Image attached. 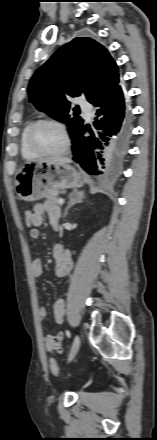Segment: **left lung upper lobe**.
<instances>
[{
  "label": "left lung upper lobe",
  "instance_id": "1",
  "mask_svg": "<svg viewBox=\"0 0 157 440\" xmlns=\"http://www.w3.org/2000/svg\"><path fill=\"white\" fill-rule=\"evenodd\" d=\"M118 83L119 70L107 49L89 37H77L34 73L28 94L39 111L66 123L71 137L83 120L69 114L67 97L84 94L93 104ZM73 110L78 116V106Z\"/></svg>",
  "mask_w": 157,
  "mask_h": 440
}]
</instances>
